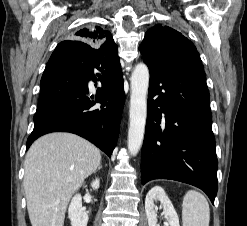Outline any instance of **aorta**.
<instances>
[{"mask_svg": "<svg viewBox=\"0 0 247 226\" xmlns=\"http://www.w3.org/2000/svg\"><path fill=\"white\" fill-rule=\"evenodd\" d=\"M149 70L146 64L136 65L131 76L130 126L128 130V151L135 156L142 145L146 116Z\"/></svg>", "mask_w": 247, "mask_h": 226, "instance_id": "762f6f07", "label": "aorta"}]
</instances>
